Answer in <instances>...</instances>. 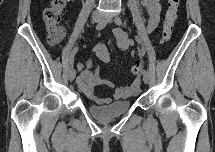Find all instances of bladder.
Segmentation results:
<instances>
[{
  "label": "bladder",
  "instance_id": "31cf9c89",
  "mask_svg": "<svg viewBox=\"0 0 215 152\" xmlns=\"http://www.w3.org/2000/svg\"><path fill=\"white\" fill-rule=\"evenodd\" d=\"M131 104L132 103L129 100L112 102L107 105L91 104L89 105L88 110L94 117L106 120L123 115L130 109Z\"/></svg>",
  "mask_w": 215,
  "mask_h": 152
}]
</instances>
